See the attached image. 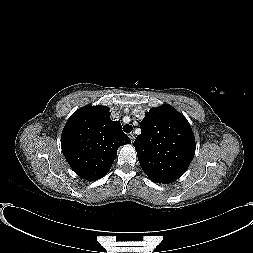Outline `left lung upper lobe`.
I'll return each instance as SVG.
<instances>
[{"instance_id": "left-lung-upper-lobe-1", "label": "left lung upper lobe", "mask_w": 253, "mask_h": 253, "mask_svg": "<svg viewBox=\"0 0 253 253\" xmlns=\"http://www.w3.org/2000/svg\"><path fill=\"white\" fill-rule=\"evenodd\" d=\"M134 147L146 175L156 183L175 181L195 154V137L187 119L170 105L152 108L141 121Z\"/></svg>"}]
</instances>
